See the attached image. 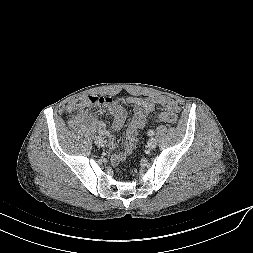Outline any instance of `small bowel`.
<instances>
[{"mask_svg":"<svg viewBox=\"0 0 253 253\" xmlns=\"http://www.w3.org/2000/svg\"><path fill=\"white\" fill-rule=\"evenodd\" d=\"M123 104L127 103L132 105L135 109V114L132 120L127 125L125 131V145L122 151L116 153L111 158V163L116 166L120 162L124 161L128 155H130L137 142L138 131L145 127L148 115L155 110L156 107H160L162 112L155 118L159 120L161 115L167 113L177 114L180 111L179 104L172 98L159 95V96H149V97H128L122 101ZM126 119V110L124 107H116L114 110V121L112 128L114 131H118L124 125ZM110 136V135H109ZM112 137V136H110ZM109 149H112L113 142L109 141Z\"/></svg>","mask_w":253,"mask_h":253,"instance_id":"1","label":"small bowel"}]
</instances>
